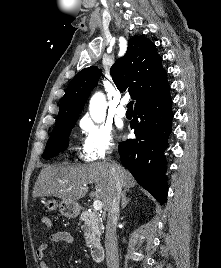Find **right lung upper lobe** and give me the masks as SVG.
Wrapping results in <instances>:
<instances>
[{
    "mask_svg": "<svg viewBox=\"0 0 221 268\" xmlns=\"http://www.w3.org/2000/svg\"><path fill=\"white\" fill-rule=\"evenodd\" d=\"M161 62L162 58L149 39L133 37L128 41L126 54L116 60L110 73L118 90H128L132 99L136 100L137 107L169 90ZM100 74V69L91 66L81 70L72 79L60 103L56 123L78 119L90 91L98 83Z\"/></svg>",
    "mask_w": 221,
    "mask_h": 268,
    "instance_id": "right-lung-upper-lobe-1",
    "label": "right lung upper lobe"
}]
</instances>
